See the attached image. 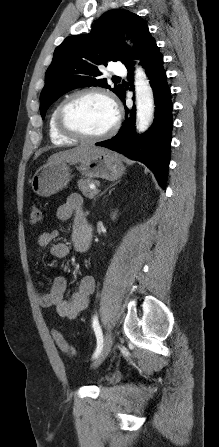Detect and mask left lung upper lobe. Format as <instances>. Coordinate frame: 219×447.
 Instances as JSON below:
<instances>
[{
	"label": "left lung upper lobe",
	"mask_w": 219,
	"mask_h": 447,
	"mask_svg": "<svg viewBox=\"0 0 219 447\" xmlns=\"http://www.w3.org/2000/svg\"><path fill=\"white\" fill-rule=\"evenodd\" d=\"M124 35L131 38L138 49L150 32L147 23L137 14L113 9L98 19L90 33L67 37L55 49L40 94L42 118L56 99L76 88L101 86L119 98L122 96V85L111 88L106 79H100L102 73L98 67L106 66L108 61L126 64L132 59L131 50L123 42Z\"/></svg>",
	"instance_id": "left-lung-upper-lobe-1"
}]
</instances>
